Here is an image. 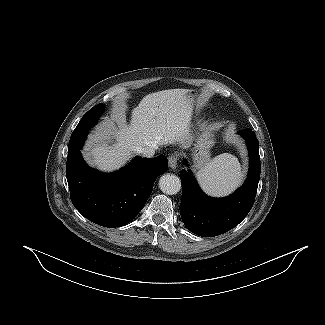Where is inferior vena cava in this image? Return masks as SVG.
Listing matches in <instances>:
<instances>
[{
  "label": "inferior vena cava",
  "mask_w": 325,
  "mask_h": 325,
  "mask_svg": "<svg viewBox=\"0 0 325 325\" xmlns=\"http://www.w3.org/2000/svg\"><path fill=\"white\" fill-rule=\"evenodd\" d=\"M157 149V147H141L138 148L137 152L142 154V156L144 157H153L155 154V150Z\"/></svg>",
  "instance_id": "obj_1"
}]
</instances>
